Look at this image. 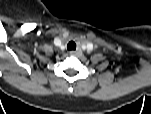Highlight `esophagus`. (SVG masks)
Wrapping results in <instances>:
<instances>
[{"label": "esophagus", "mask_w": 151, "mask_h": 114, "mask_svg": "<svg viewBox=\"0 0 151 114\" xmlns=\"http://www.w3.org/2000/svg\"><path fill=\"white\" fill-rule=\"evenodd\" d=\"M71 56H79L82 54L81 50L71 51L69 53Z\"/></svg>", "instance_id": "esophagus-1"}]
</instances>
